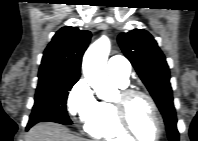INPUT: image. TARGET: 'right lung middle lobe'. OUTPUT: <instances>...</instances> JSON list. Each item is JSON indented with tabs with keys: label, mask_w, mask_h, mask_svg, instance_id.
Masks as SVG:
<instances>
[{
	"label": "right lung middle lobe",
	"mask_w": 198,
	"mask_h": 141,
	"mask_svg": "<svg viewBox=\"0 0 198 141\" xmlns=\"http://www.w3.org/2000/svg\"><path fill=\"white\" fill-rule=\"evenodd\" d=\"M76 76H39L35 103L28 127L42 121L72 124L66 111L68 91L78 81Z\"/></svg>",
	"instance_id": "1"
}]
</instances>
